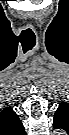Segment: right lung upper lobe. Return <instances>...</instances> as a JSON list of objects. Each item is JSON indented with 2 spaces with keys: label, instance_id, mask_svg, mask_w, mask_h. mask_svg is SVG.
I'll use <instances>...</instances> for the list:
<instances>
[{
  "label": "right lung upper lobe",
  "instance_id": "right-lung-upper-lobe-1",
  "mask_svg": "<svg viewBox=\"0 0 69 135\" xmlns=\"http://www.w3.org/2000/svg\"><path fill=\"white\" fill-rule=\"evenodd\" d=\"M3 115L6 118V122H3L4 134L2 135H25L24 127L12 108H6L3 111Z\"/></svg>",
  "mask_w": 69,
  "mask_h": 135
}]
</instances>
